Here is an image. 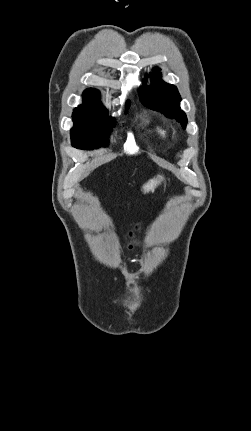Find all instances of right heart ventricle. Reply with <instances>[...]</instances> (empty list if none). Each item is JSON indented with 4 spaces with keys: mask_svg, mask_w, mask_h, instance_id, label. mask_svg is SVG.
Returning a JSON list of instances; mask_svg holds the SVG:
<instances>
[{
    "mask_svg": "<svg viewBox=\"0 0 251 431\" xmlns=\"http://www.w3.org/2000/svg\"><path fill=\"white\" fill-rule=\"evenodd\" d=\"M149 122H150V120L148 118L145 119V123L148 124ZM150 132L152 134L158 136V137H161V138H165L167 136V133H168L167 130L162 126H155L153 128H150Z\"/></svg>",
    "mask_w": 251,
    "mask_h": 431,
    "instance_id": "e07e8e85",
    "label": "right heart ventricle"
}]
</instances>
